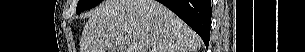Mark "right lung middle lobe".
<instances>
[{"label": "right lung middle lobe", "instance_id": "obj_1", "mask_svg": "<svg viewBox=\"0 0 305 52\" xmlns=\"http://www.w3.org/2000/svg\"><path fill=\"white\" fill-rule=\"evenodd\" d=\"M102 0H80L78 2L76 12L80 14L82 11L90 9L100 3Z\"/></svg>", "mask_w": 305, "mask_h": 52}]
</instances>
